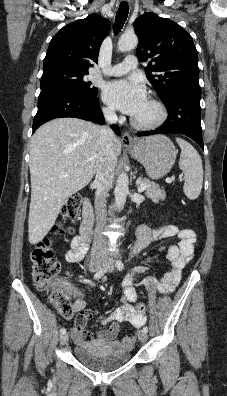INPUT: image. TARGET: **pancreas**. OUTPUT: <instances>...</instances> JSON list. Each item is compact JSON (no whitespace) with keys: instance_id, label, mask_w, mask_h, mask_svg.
I'll return each instance as SVG.
<instances>
[{"instance_id":"pancreas-1","label":"pancreas","mask_w":227,"mask_h":396,"mask_svg":"<svg viewBox=\"0 0 227 396\" xmlns=\"http://www.w3.org/2000/svg\"><path fill=\"white\" fill-rule=\"evenodd\" d=\"M140 184H146L145 195L154 202H159V200H164L166 197V192L164 189L154 182H150L147 179L141 180Z\"/></svg>"}]
</instances>
